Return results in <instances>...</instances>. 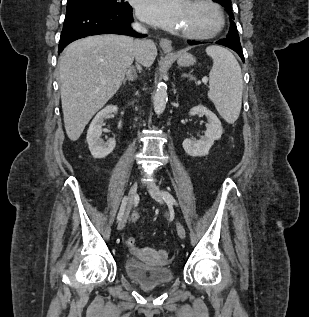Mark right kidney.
I'll list each match as a JSON object with an SVG mask.
<instances>
[{
	"instance_id": "ca27d5eb",
	"label": "right kidney",
	"mask_w": 309,
	"mask_h": 317,
	"mask_svg": "<svg viewBox=\"0 0 309 317\" xmlns=\"http://www.w3.org/2000/svg\"><path fill=\"white\" fill-rule=\"evenodd\" d=\"M117 112V106L110 105L102 109L92 120L87 131V143L94 158H104L114 150L116 145L114 138H110L107 142H104L100 137L102 135V123L104 118L112 113L116 114Z\"/></svg>"
}]
</instances>
